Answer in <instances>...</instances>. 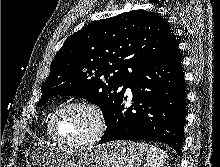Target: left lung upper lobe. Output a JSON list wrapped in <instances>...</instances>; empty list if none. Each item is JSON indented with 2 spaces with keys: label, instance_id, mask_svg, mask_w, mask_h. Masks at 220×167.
<instances>
[{
  "label": "left lung upper lobe",
  "instance_id": "5c2ea615",
  "mask_svg": "<svg viewBox=\"0 0 220 167\" xmlns=\"http://www.w3.org/2000/svg\"><path fill=\"white\" fill-rule=\"evenodd\" d=\"M176 48L170 26L153 12L133 10L90 23L57 52L38 107L51 96H79L100 106L107 122L129 80Z\"/></svg>",
  "mask_w": 220,
  "mask_h": 167
}]
</instances>
